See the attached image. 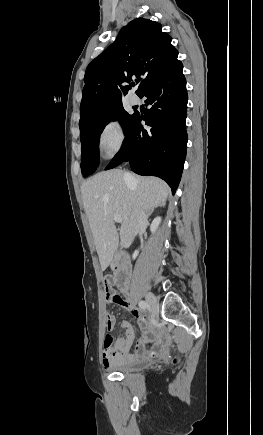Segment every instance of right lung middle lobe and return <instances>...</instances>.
<instances>
[{"label": "right lung middle lobe", "instance_id": "obj_1", "mask_svg": "<svg viewBox=\"0 0 263 435\" xmlns=\"http://www.w3.org/2000/svg\"><path fill=\"white\" fill-rule=\"evenodd\" d=\"M135 115V113L129 115L124 110L122 103H119L107 109L92 123L80 128V140L82 144L81 172L84 177L95 172L99 165V139L106 124L110 120L118 119L126 135L134 121Z\"/></svg>", "mask_w": 263, "mask_h": 435}]
</instances>
